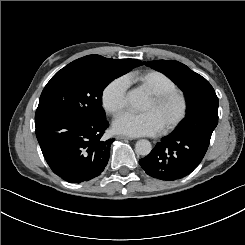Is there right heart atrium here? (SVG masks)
Listing matches in <instances>:
<instances>
[{
	"label": "right heart atrium",
	"mask_w": 245,
	"mask_h": 245,
	"mask_svg": "<svg viewBox=\"0 0 245 245\" xmlns=\"http://www.w3.org/2000/svg\"><path fill=\"white\" fill-rule=\"evenodd\" d=\"M127 94V85L125 82L116 78L110 81L102 92V104L104 109L112 114H119L124 107Z\"/></svg>",
	"instance_id": "right-heart-atrium-1"
}]
</instances>
